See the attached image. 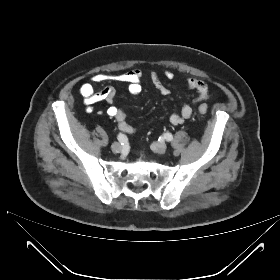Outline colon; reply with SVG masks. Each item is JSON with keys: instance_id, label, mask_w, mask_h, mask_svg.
<instances>
[{"instance_id": "colon-1", "label": "colon", "mask_w": 280, "mask_h": 280, "mask_svg": "<svg viewBox=\"0 0 280 280\" xmlns=\"http://www.w3.org/2000/svg\"><path fill=\"white\" fill-rule=\"evenodd\" d=\"M207 110H208V108H207L205 105H200V106L198 107V111H199V113H201V114H205V113L207 112Z\"/></svg>"}]
</instances>
